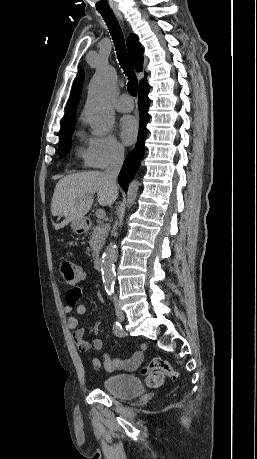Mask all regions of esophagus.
I'll use <instances>...</instances> for the list:
<instances>
[{
	"label": "esophagus",
	"instance_id": "obj_1",
	"mask_svg": "<svg viewBox=\"0 0 257 459\" xmlns=\"http://www.w3.org/2000/svg\"><path fill=\"white\" fill-rule=\"evenodd\" d=\"M115 15H116L121 21H123V16H122V14H121L120 11L115 10Z\"/></svg>",
	"mask_w": 257,
	"mask_h": 459
}]
</instances>
